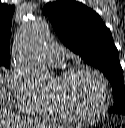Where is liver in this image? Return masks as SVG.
Returning a JSON list of instances; mask_svg holds the SVG:
<instances>
[{"label": "liver", "instance_id": "1", "mask_svg": "<svg viewBox=\"0 0 125 128\" xmlns=\"http://www.w3.org/2000/svg\"><path fill=\"white\" fill-rule=\"evenodd\" d=\"M10 97V86L0 74V128L21 127L23 124V121L12 113Z\"/></svg>", "mask_w": 125, "mask_h": 128}]
</instances>
